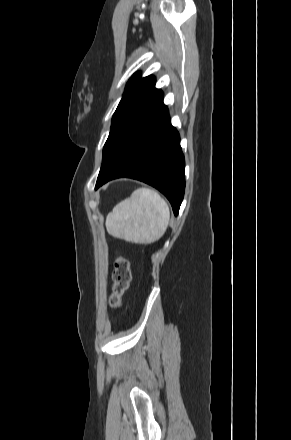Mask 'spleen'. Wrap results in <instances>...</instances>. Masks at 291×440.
Masks as SVG:
<instances>
[{"instance_id":"3e777b00","label":"spleen","mask_w":291,"mask_h":440,"mask_svg":"<svg viewBox=\"0 0 291 440\" xmlns=\"http://www.w3.org/2000/svg\"><path fill=\"white\" fill-rule=\"evenodd\" d=\"M169 220L170 210L166 201L156 191L141 187L107 215L106 228L116 238L149 244L164 235Z\"/></svg>"}]
</instances>
